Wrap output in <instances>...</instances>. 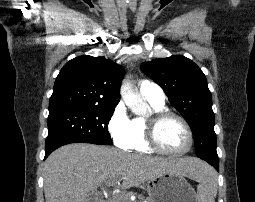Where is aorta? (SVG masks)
I'll list each match as a JSON object with an SVG mask.
<instances>
[{"instance_id":"obj_1","label":"aorta","mask_w":255,"mask_h":202,"mask_svg":"<svg viewBox=\"0 0 255 202\" xmlns=\"http://www.w3.org/2000/svg\"><path fill=\"white\" fill-rule=\"evenodd\" d=\"M122 97L128 108L136 115H145L148 111V104L140 96L137 89L126 82L122 89Z\"/></svg>"}]
</instances>
